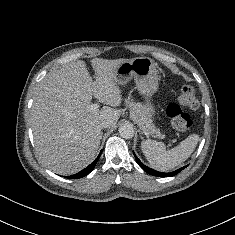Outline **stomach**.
Returning <instances> with one entry per match:
<instances>
[{
  "mask_svg": "<svg viewBox=\"0 0 235 235\" xmlns=\"http://www.w3.org/2000/svg\"><path fill=\"white\" fill-rule=\"evenodd\" d=\"M115 80L124 85L132 78L140 94L149 99L158 89V75L154 61L148 57L126 59L115 69ZM146 110L152 116L153 106L147 102Z\"/></svg>",
  "mask_w": 235,
  "mask_h": 235,
  "instance_id": "obj_1",
  "label": "stomach"
}]
</instances>
